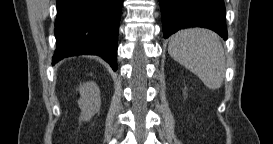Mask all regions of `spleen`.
<instances>
[{"instance_id":"3e777b00","label":"spleen","mask_w":273,"mask_h":144,"mask_svg":"<svg viewBox=\"0 0 273 144\" xmlns=\"http://www.w3.org/2000/svg\"><path fill=\"white\" fill-rule=\"evenodd\" d=\"M168 52L209 89L221 87L225 56L222 44L213 31L201 28L181 30L171 37Z\"/></svg>"}]
</instances>
